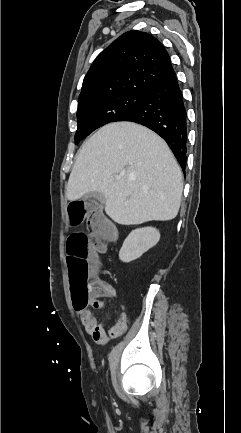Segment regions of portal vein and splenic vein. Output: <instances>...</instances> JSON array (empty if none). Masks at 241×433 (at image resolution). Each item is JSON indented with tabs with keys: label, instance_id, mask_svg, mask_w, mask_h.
Here are the masks:
<instances>
[{
	"label": "portal vein and splenic vein",
	"instance_id": "obj_1",
	"mask_svg": "<svg viewBox=\"0 0 241 433\" xmlns=\"http://www.w3.org/2000/svg\"><path fill=\"white\" fill-rule=\"evenodd\" d=\"M116 178H117V179H120V176H117Z\"/></svg>",
	"mask_w": 241,
	"mask_h": 433
}]
</instances>
